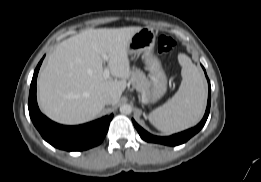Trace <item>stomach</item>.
<instances>
[{"label": "stomach", "mask_w": 261, "mask_h": 182, "mask_svg": "<svg viewBox=\"0 0 261 182\" xmlns=\"http://www.w3.org/2000/svg\"><path fill=\"white\" fill-rule=\"evenodd\" d=\"M156 33L152 28L144 27L136 32L127 47L129 55L142 54L145 68L149 72V102L159 100L167 89V78L159 58L154 54Z\"/></svg>", "instance_id": "0dacf381"}]
</instances>
